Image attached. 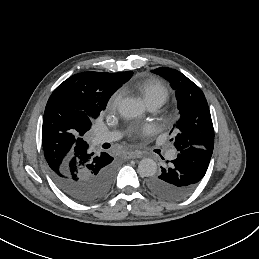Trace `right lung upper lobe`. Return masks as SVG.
I'll return each mask as SVG.
<instances>
[{
	"label": "right lung upper lobe",
	"mask_w": 259,
	"mask_h": 259,
	"mask_svg": "<svg viewBox=\"0 0 259 259\" xmlns=\"http://www.w3.org/2000/svg\"><path fill=\"white\" fill-rule=\"evenodd\" d=\"M132 74V71L82 72L54 90L47 102L42 126L44 154L51 170L60 169L74 154L88 147L85 133L112 94Z\"/></svg>",
	"instance_id": "1"
}]
</instances>
